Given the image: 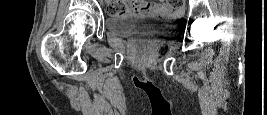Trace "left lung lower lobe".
<instances>
[{
	"label": "left lung lower lobe",
	"instance_id": "0a47b994",
	"mask_svg": "<svg viewBox=\"0 0 267 115\" xmlns=\"http://www.w3.org/2000/svg\"><path fill=\"white\" fill-rule=\"evenodd\" d=\"M137 87H144V86H141V85H137ZM147 88H149V89H151V90H153V91H159L157 88H155V87H147Z\"/></svg>",
	"mask_w": 267,
	"mask_h": 115
}]
</instances>
